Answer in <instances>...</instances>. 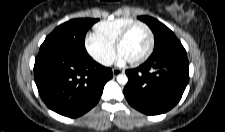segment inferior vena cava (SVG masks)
<instances>
[{
  "instance_id": "inferior-vena-cava-1",
  "label": "inferior vena cava",
  "mask_w": 225,
  "mask_h": 132,
  "mask_svg": "<svg viewBox=\"0 0 225 132\" xmlns=\"http://www.w3.org/2000/svg\"><path fill=\"white\" fill-rule=\"evenodd\" d=\"M113 62H114L113 58H107L100 61V63L105 66H110L113 64Z\"/></svg>"
}]
</instances>
